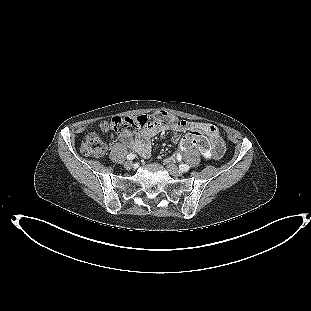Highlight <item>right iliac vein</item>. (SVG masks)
<instances>
[{"label": "right iliac vein", "instance_id": "right-iliac-vein-1", "mask_svg": "<svg viewBox=\"0 0 311 311\" xmlns=\"http://www.w3.org/2000/svg\"><path fill=\"white\" fill-rule=\"evenodd\" d=\"M133 162L132 161H126L125 163H124V167L126 168V169H131L132 167H133Z\"/></svg>", "mask_w": 311, "mask_h": 311}]
</instances>
